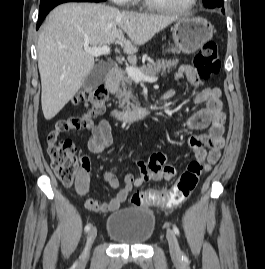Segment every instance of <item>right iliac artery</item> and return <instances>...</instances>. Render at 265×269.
Returning <instances> with one entry per match:
<instances>
[{
    "instance_id": "82829eb1",
    "label": "right iliac artery",
    "mask_w": 265,
    "mask_h": 269,
    "mask_svg": "<svg viewBox=\"0 0 265 269\" xmlns=\"http://www.w3.org/2000/svg\"><path fill=\"white\" fill-rule=\"evenodd\" d=\"M91 228V225L90 224H87L84 228L85 232H88Z\"/></svg>"
}]
</instances>
